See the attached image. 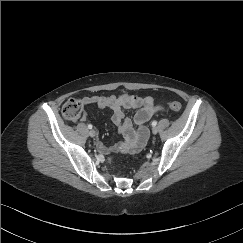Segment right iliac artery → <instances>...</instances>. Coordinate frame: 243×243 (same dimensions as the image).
<instances>
[{"label": "right iliac artery", "mask_w": 243, "mask_h": 243, "mask_svg": "<svg viewBox=\"0 0 243 243\" xmlns=\"http://www.w3.org/2000/svg\"><path fill=\"white\" fill-rule=\"evenodd\" d=\"M88 129H92V125L91 124L88 125Z\"/></svg>", "instance_id": "right-iliac-artery-1"}]
</instances>
